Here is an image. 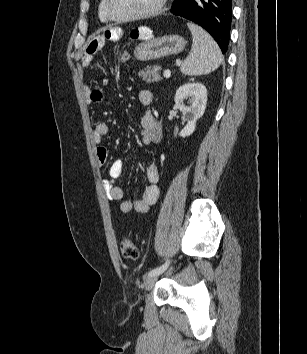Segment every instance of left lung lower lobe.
<instances>
[{
	"instance_id": "0a47b994",
	"label": "left lung lower lobe",
	"mask_w": 307,
	"mask_h": 354,
	"mask_svg": "<svg viewBox=\"0 0 307 354\" xmlns=\"http://www.w3.org/2000/svg\"><path fill=\"white\" fill-rule=\"evenodd\" d=\"M171 12L206 29L225 53L229 44L232 0H174Z\"/></svg>"
}]
</instances>
